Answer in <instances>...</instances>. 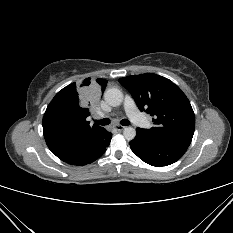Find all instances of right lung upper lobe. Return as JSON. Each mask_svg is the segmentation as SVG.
<instances>
[{"instance_id": "1", "label": "right lung upper lobe", "mask_w": 233, "mask_h": 233, "mask_svg": "<svg viewBox=\"0 0 233 233\" xmlns=\"http://www.w3.org/2000/svg\"><path fill=\"white\" fill-rule=\"evenodd\" d=\"M107 80L90 78L80 85L72 83L60 90L48 105L43 117V131L49 149L60 159H78L92 153L103 142L107 131L96 124L90 126V115L79 96V87L90 93L104 91Z\"/></svg>"}]
</instances>
